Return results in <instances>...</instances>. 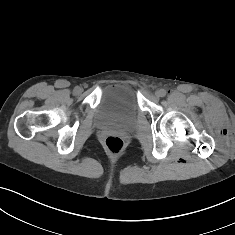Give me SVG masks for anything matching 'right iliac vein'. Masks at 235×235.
<instances>
[{
    "instance_id": "1",
    "label": "right iliac vein",
    "mask_w": 235,
    "mask_h": 235,
    "mask_svg": "<svg viewBox=\"0 0 235 235\" xmlns=\"http://www.w3.org/2000/svg\"><path fill=\"white\" fill-rule=\"evenodd\" d=\"M82 91H83V89H82L81 87H77L75 93H76V94H81Z\"/></svg>"
}]
</instances>
